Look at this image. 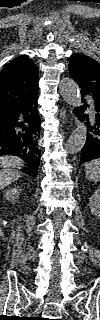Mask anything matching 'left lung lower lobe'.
Wrapping results in <instances>:
<instances>
[{"mask_svg": "<svg viewBox=\"0 0 100 320\" xmlns=\"http://www.w3.org/2000/svg\"><path fill=\"white\" fill-rule=\"evenodd\" d=\"M81 92L85 95L87 92L81 88ZM92 103L95 109V115L89 121L87 116L86 124L88 128L85 145L81 152L80 165L93 159L100 158V98L92 96ZM85 106H88L85 104ZM83 111V110H82ZM78 112L77 115H79ZM84 120V117H82Z\"/></svg>", "mask_w": 100, "mask_h": 320, "instance_id": "obj_1", "label": "left lung lower lobe"}]
</instances>
